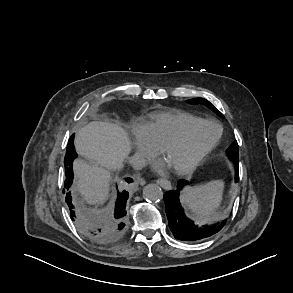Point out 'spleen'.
I'll list each match as a JSON object with an SVG mask.
<instances>
[{
  "instance_id": "1",
  "label": "spleen",
  "mask_w": 293,
  "mask_h": 293,
  "mask_svg": "<svg viewBox=\"0 0 293 293\" xmlns=\"http://www.w3.org/2000/svg\"><path fill=\"white\" fill-rule=\"evenodd\" d=\"M224 191L222 180H213L193 187H185L182 200L186 207L202 218H210L216 214Z\"/></svg>"
}]
</instances>
